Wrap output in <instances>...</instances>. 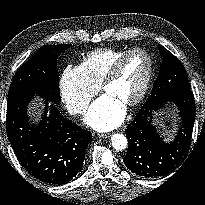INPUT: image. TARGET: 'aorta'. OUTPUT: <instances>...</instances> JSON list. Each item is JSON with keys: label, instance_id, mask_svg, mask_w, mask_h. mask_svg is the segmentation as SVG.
I'll return each instance as SVG.
<instances>
[{"label": "aorta", "instance_id": "aorta-1", "mask_svg": "<svg viewBox=\"0 0 205 205\" xmlns=\"http://www.w3.org/2000/svg\"><path fill=\"white\" fill-rule=\"evenodd\" d=\"M111 145L115 150L121 151L127 148L128 140L123 134H113L111 137Z\"/></svg>", "mask_w": 205, "mask_h": 205}]
</instances>
